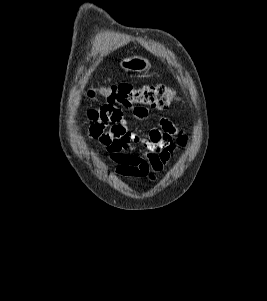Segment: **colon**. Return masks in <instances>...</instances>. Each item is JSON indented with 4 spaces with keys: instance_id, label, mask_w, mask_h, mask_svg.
<instances>
[{
    "instance_id": "obj_1",
    "label": "colon",
    "mask_w": 267,
    "mask_h": 301,
    "mask_svg": "<svg viewBox=\"0 0 267 301\" xmlns=\"http://www.w3.org/2000/svg\"><path fill=\"white\" fill-rule=\"evenodd\" d=\"M89 95H102L108 102L123 106L143 104L151 108L164 110L177 98L175 91L165 85H145L134 87L130 83L101 86L90 90Z\"/></svg>"
}]
</instances>
